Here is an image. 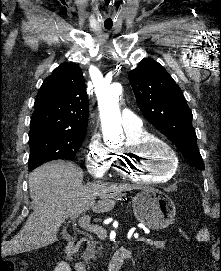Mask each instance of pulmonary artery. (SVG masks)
<instances>
[{
	"label": "pulmonary artery",
	"instance_id": "obj_1",
	"mask_svg": "<svg viewBox=\"0 0 221 271\" xmlns=\"http://www.w3.org/2000/svg\"><path fill=\"white\" fill-rule=\"evenodd\" d=\"M122 122L119 123L120 127H141L139 117H135V112H122ZM140 128H127V133H140Z\"/></svg>",
	"mask_w": 221,
	"mask_h": 271
}]
</instances>
